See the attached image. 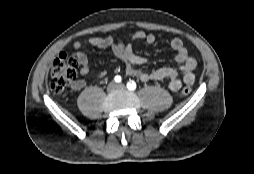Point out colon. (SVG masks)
<instances>
[{
    "instance_id": "obj_1",
    "label": "colon",
    "mask_w": 254,
    "mask_h": 174,
    "mask_svg": "<svg viewBox=\"0 0 254 174\" xmlns=\"http://www.w3.org/2000/svg\"><path fill=\"white\" fill-rule=\"evenodd\" d=\"M77 62L75 56L66 52L61 53L55 60L50 77V88L55 94L62 93L66 87L76 78ZM190 87H184L182 95L191 93Z\"/></svg>"
}]
</instances>
